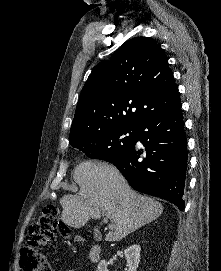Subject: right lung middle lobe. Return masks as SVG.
Listing matches in <instances>:
<instances>
[{
    "label": "right lung middle lobe",
    "instance_id": "obj_1",
    "mask_svg": "<svg viewBox=\"0 0 221 271\" xmlns=\"http://www.w3.org/2000/svg\"><path fill=\"white\" fill-rule=\"evenodd\" d=\"M137 127L114 126L98 133L70 141L72 147L93 159L110 163L118 160L135 144ZM126 134H129L126 136Z\"/></svg>",
    "mask_w": 221,
    "mask_h": 271
}]
</instances>
